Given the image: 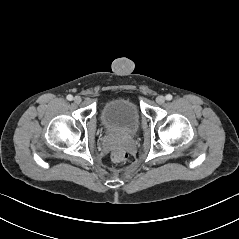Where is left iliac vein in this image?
Segmentation results:
<instances>
[{
	"label": "left iliac vein",
	"instance_id": "4c4485c4",
	"mask_svg": "<svg viewBox=\"0 0 239 239\" xmlns=\"http://www.w3.org/2000/svg\"><path fill=\"white\" fill-rule=\"evenodd\" d=\"M156 102H157L158 104H163V103L165 102V97L162 96V95L157 96Z\"/></svg>",
	"mask_w": 239,
	"mask_h": 239
}]
</instances>
